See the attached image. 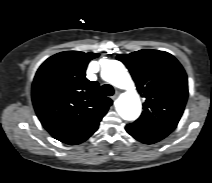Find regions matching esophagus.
Segmentation results:
<instances>
[{
    "label": "esophagus",
    "instance_id": "obj_1",
    "mask_svg": "<svg viewBox=\"0 0 212 183\" xmlns=\"http://www.w3.org/2000/svg\"><path fill=\"white\" fill-rule=\"evenodd\" d=\"M119 94H120V92L116 91V93L111 97V99L116 100Z\"/></svg>",
    "mask_w": 212,
    "mask_h": 183
}]
</instances>
